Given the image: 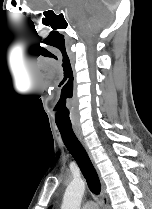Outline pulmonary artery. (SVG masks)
I'll return each instance as SVG.
<instances>
[{"label": "pulmonary artery", "instance_id": "1", "mask_svg": "<svg viewBox=\"0 0 152 209\" xmlns=\"http://www.w3.org/2000/svg\"><path fill=\"white\" fill-rule=\"evenodd\" d=\"M82 209H97V206L94 202L88 201L83 204Z\"/></svg>", "mask_w": 152, "mask_h": 209}]
</instances>
